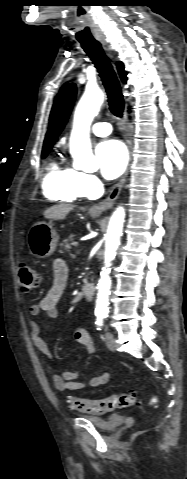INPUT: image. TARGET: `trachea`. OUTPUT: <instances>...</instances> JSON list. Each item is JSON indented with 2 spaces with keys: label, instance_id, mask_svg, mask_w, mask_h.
<instances>
[{
  "label": "trachea",
  "instance_id": "trachea-1",
  "mask_svg": "<svg viewBox=\"0 0 187 479\" xmlns=\"http://www.w3.org/2000/svg\"><path fill=\"white\" fill-rule=\"evenodd\" d=\"M86 54L97 68L108 96L109 108L116 117H122L124 99L117 76L106 57L100 42L96 40L80 41Z\"/></svg>",
  "mask_w": 187,
  "mask_h": 479
}]
</instances>
